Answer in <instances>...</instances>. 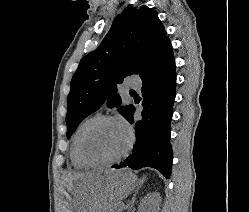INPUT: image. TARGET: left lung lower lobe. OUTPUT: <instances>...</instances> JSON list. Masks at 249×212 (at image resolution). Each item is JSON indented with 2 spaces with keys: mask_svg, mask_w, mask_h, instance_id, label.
I'll use <instances>...</instances> for the list:
<instances>
[{
  "mask_svg": "<svg viewBox=\"0 0 249 212\" xmlns=\"http://www.w3.org/2000/svg\"><path fill=\"white\" fill-rule=\"evenodd\" d=\"M140 77L143 83V119L134 123L135 107L132 105L127 108L124 115L130 123H134L136 144L132 155L120 165L113 167L132 169L153 167L169 178L173 159L170 122L176 94L175 60L170 42L161 49L153 63L140 74ZM148 108H151L149 121H147Z\"/></svg>",
  "mask_w": 249,
  "mask_h": 212,
  "instance_id": "left-lung-lower-lobe-1",
  "label": "left lung lower lobe"
}]
</instances>
